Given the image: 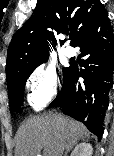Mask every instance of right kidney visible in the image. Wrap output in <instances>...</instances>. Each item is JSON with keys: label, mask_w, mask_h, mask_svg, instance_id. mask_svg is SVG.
<instances>
[{"label": "right kidney", "mask_w": 114, "mask_h": 156, "mask_svg": "<svg viewBox=\"0 0 114 156\" xmlns=\"http://www.w3.org/2000/svg\"><path fill=\"white\" fill-rule=\"evenodd\" d=\"M93 148L90 143H80L75 147L70 156H92Z\"/></svg>", "instance_id": "1"}]
</instances>
